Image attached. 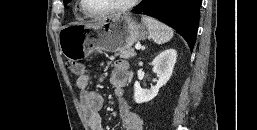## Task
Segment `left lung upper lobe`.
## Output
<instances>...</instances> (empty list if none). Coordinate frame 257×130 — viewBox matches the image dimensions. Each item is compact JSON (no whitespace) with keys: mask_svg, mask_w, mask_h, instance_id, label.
<instances>
[{"mask_svg":"<svg viewBox=\"0 0 257 130\" xmlns=\"http://www.w3.org/2000/svg\"><path fill=\"white\" fill-rule=\"evenodd\" d=\"M70 0H64V5H66Z\"/></svg>","mask_w":257,"mask_h":130,"instance_id":"obj_1","label":"left lung upper lobe"}]
</instances>
